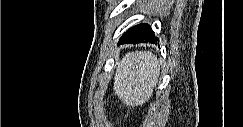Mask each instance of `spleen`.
<instances>
[{
    "label": "spleen",
    "mask_w": 243,
    "mask_h": 127,
    "mask_svg": "<svg viewBox=\"0 0 243 127\" xmlns=\"http://www.w3.org/2000/svg\"><path fill=\"white\" fill-rule=\"evenodd\" d=\"M160 75V63L150 51L126 54L119 62L113 90L126 105H142L152 96Z\"/></svg>",
    "instance_id": "obj_1"
}]
</instances>
